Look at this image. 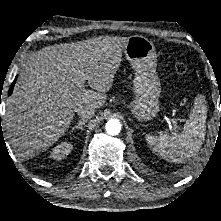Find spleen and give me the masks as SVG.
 Segmentation results:
<instances>
[{
  "label": "spleen",
  "mask_w": 221,
  "mask_h": 221,
  "mask_svg": "<svg viewBox=\"0 0 221 221\" xmlns=\"http://www.w3.org/2000/svg\"><path fill=\"white\" fill-rule=\"evenodd\" d=\"M180 133L147 135L149 148L170 163H185L195 157L205 139L207 108L199 96Z\"/></svg>",
  "instance_id": "1"
}]
</instances>
